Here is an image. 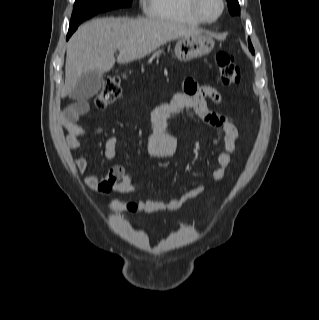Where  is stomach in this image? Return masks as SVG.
Masks as SVG:
<instances>
[{
	"label": "stomach",
	"mask_w": 319,
	"mask_h": 320,
	"mask_svg": "<svg viewBox=\"0 0 319 320\" xmlns=\"http://www.w3.org/2000/svg\"><path fill=\"white\" fill-rule=\"evenodd\" d=\"M215 46L212 37L203 34L181 37L176 43L174 54L179 61H190L207 55Z\"/></svg>",
	"instance_id": "1"
}]
</instances>
